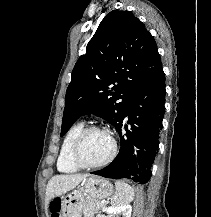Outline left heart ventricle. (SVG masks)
Masks as SVG:
<instances>
[{"label":"left heart ventricle","mask_w":211,"mask_h":217,"mask_svg":"<svg viewBox=\"0 0 211 217\" xmlns=\"http://www.w3.org/2000/svg\"><path fill=\"white\" fill-rule=\"evenodd\" d=\"M110 136L103 131L90 132L83 145V157L87 162L96 163L104 160L111 152Z\"/></svg>","instance_id":"b2bd125f"}]
</instances>
